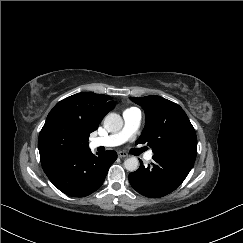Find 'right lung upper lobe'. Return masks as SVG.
I'll return each instance as SVG.
<instances>
[{
	"mask_svg": "<svg viewBox=\"0 0 243 243\" xmlns=\"http://www.w3.org/2000/svg\"><path fill=\"white\" fill-rule=\"evenodd\" d=\"M113 107L114 102L108 95L82 92L61 100L51 111L66 114L90 134Z\"/></svg>",
	"mask_w": 243,
	"mask_h": 243,
	"instance_id": "obj_1",
	"label": "right lung upper lobe"
}]
</instances>
